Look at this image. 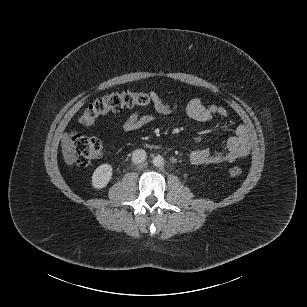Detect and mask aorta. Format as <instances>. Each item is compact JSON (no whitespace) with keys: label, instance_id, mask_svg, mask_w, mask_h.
Masks as SVG:
<instances>
[{"label":"aorta","instance_id":"762f6f07","mask_svg":"<svg viewBox=\"0 0 307 307\" xmlns=\"http://www.w3.org/2000/svg\"><path fill=\"white\" fill-rule=\"evenodd\" d=\"M152 163L156 167H160L164 165V158L161 155H157L152 159Z\"/></svg>","mask_w":307,"mask_h":307}]
</instances>
